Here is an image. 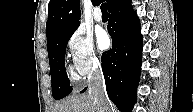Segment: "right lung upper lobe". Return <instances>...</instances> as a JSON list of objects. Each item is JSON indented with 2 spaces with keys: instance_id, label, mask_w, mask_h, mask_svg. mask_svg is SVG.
<instances>
[{
  "instance_id": "1",
  "label": "right lung upper lobe",
  "mask_w": 193,
  "mask_h": 112,
  "mask_svg": "<svg viewBox=\"0 0 193 112\" xmlns=\"http://www.w3.org/2000/svg\"><path fill=\"white\" fill-rule=\"evenodd\" d=\"M93 5L97 0H91ZM121 0H106L111 10ZM80 0H50L46 24L47 45L60 33L78 27L80 22Z\"/></svg>"
}]
</instances>
